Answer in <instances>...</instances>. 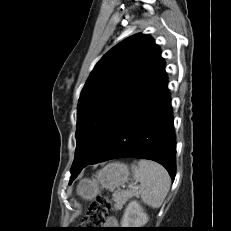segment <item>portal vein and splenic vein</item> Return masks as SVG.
Instances as JSON below:
<instances>
[{"label":"portal vein and splenic vein","instance_id":"obj_1","mask_svg":"<svg viewBox=\"0 0 231 231\" xmlns=\"http://www.w3.org/2000/svg\"><path fill=\"white\" fill-rule=\"evenodd\" d=\"M131 188H138L136 185H130Z\"/></svg>","mask_w":231,"mask_h":231}]
</instances>
